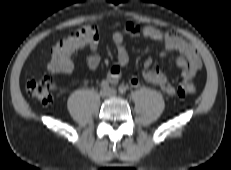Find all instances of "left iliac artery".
Returning a JSON list of instances; mask_svg holds the SVG:
<instances>
[{"label": "left iliac artery", "mask_w": 231, "mask_h": 170, "mask_svg": "<svg viewBox=\"0 0 231 170\" xmlns=\"http://www.w3.org/2000/svg\"><path fill=\"white\" fill-rule=\"evenodd\" d=\"M118 90L121 94H124L126 93L127 87L125 85H120Z\"/></svg>", "instance_id": "obj_1"}]
</instances>
